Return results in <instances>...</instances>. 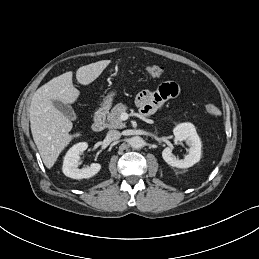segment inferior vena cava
<instances>
[{"label":"inferior vena cava","mask_w":259,"mask_h":259,"mask_svg":"<svg viewBox=\"0 0 259 259\" xmlns=\"http://www.w3.org/2000/svg\"><path fill=\"white\" fill-rule=\"evenodd\" d=\"M121 137V133L117 130H110L107 133V138L111 141L118 140Z\"/></svg>","instance_id":"1"}]
</instances>
